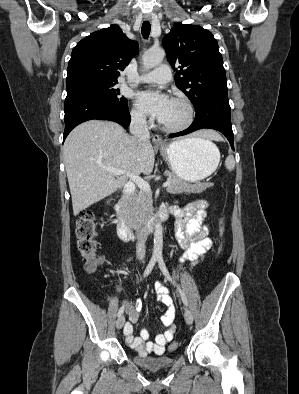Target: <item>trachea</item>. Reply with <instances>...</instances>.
<instances>
[{
  "label": "trachea",
  "instance_id": "trachea-1",
  "mask_svg": "<svg viewBox=\"0 0 299 394\" xmlns=\"http://www.w3.org/2000/svg\"><path fill=\"white\" fill-rule=\"evenodd\" d=\"M151 31V25L149 21H144L142 24L141 32L144 38H148Z\"/></svg>",
  "mask_w": 299,
  "mask_h": 394
}]
</instances>
